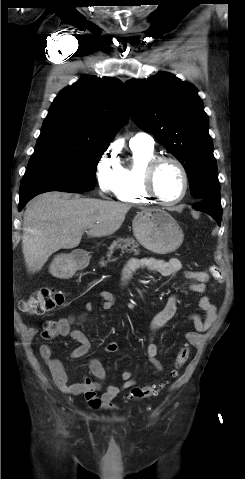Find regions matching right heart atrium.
Returning <instances> with one entry per match:
<instances>
[{"mask_svg": "<svg viewBox=\"0 0 245 479\" xmlns=\"http://www.w3.org/2000/svg\"><path fill=\"white\" fill-rule=\"evenodd\" d=\"M121 171V165L114 151H106L96 166V180L100 193L115 194Z\"/></svg>", "mask_w": 245, "mask_h": 479, "instance_id": "d8ad5b80", "label": "right heart atrium"}]
</instances>
